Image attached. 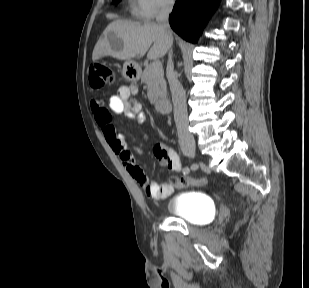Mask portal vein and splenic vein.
Instances as JSON below:
<instances>
[{"mask_svg":"<svg viewBox=\"0 0 309 288\" xmlns=\"http://www.w3.org/2000/svg\"><path fill=\"white\" fill-rule=\"evenodd\" d=\"M153 69H160L162 68V64L159 60H154L151 64Z\"/></svg>","mask_w":309,"mask_h":288,"instance_id":"1","label":"portal vein and splenic vein"}]
</instances>
